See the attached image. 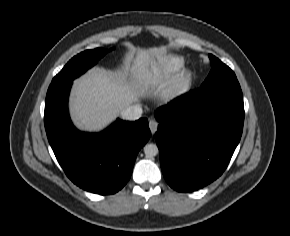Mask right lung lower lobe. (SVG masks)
<instances>
[{
  "label": "right lung lower lobe",
  "instance_id": "obj_1",
  "mask_svg": "<svg viewBox=\"0 0 290 236\" xmlns=\"http://www.w3.org/2000/svg\"><path fill=\"white\" fill-rule=\"evenodd\" d=\"M73 80L51 83L44 123L53 152L68 178L80 188L108 195L128 182L136 156L151 136L146 118L117 121L101 133H84L72 124L68 95Z\"/></svg>",
  "mask_w": 290,
  "mask_h": 236
}]
</instances>
